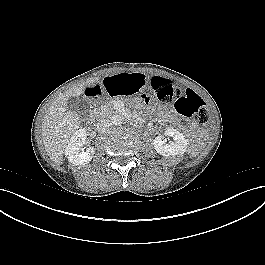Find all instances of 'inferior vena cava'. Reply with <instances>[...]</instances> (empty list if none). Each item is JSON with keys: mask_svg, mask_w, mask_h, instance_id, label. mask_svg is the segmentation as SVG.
Returning <instances> with one entry per match:
<instances>
[{"mask_svg": "<svg viewBox=\"0 0 265 265\" xmlns=\"http://www.w3.org/2000/svg\"><path fill=\"white\" fill-rule=\"evenodd\" d=\"M112 128V123L109 119L107 118H102L98 123H97V131L99 133L105 134L109 132Z\"/></svg>", "mask_w": 265, "mask_h": 265, "instance_id": "602c4592", "label": "inferior vena cava"}]
</instances>
